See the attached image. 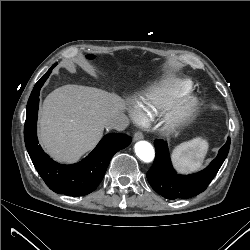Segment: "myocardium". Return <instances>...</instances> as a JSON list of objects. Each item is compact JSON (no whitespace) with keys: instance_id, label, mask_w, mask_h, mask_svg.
<instances>
[{"instance_id":"obj_1","label":"myocardium","mask_w":250,"mask_h":250,"mask_svg":"<svg viewBox=\"0 0 250 250\" xmlns=\"http://www.w3.org/2000/svg\"><path fill=\"white\" fill-rule=\"evenodd\" d=\"M201 106L200 97L193 91L186 92L172 107L165 119V127L175 130L191 121Z\"/></svg>"}]
</instances>
